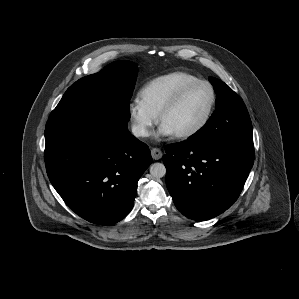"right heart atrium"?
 <instances>
[{
    "label": "right heart atrium",
    "instance_id": "d8ad5b80",
    "mask_svg": "<svg viewBox=\"0 0 299 299\" xmlns=\"http://www.w3.org/2000/svg\"><path fill=\"white\" fill-rule=\"evenodd\" d=\"M128 111L134 134L140 138L148 137L158 121V116L150 111L139 99L129 104Z\"/></svg>",
    "mask_w": 299,
    "mask_h": 299
}]
</instances>
